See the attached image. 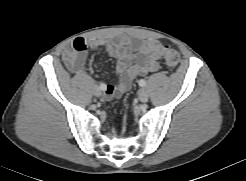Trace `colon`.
Listing matches in <instances>:
<instances>
[{
    "instance_id": "colon-1",
    "label": "colon",
    "mask_w": 246,
    "mask_h": 181,
    "mask_svg": "<svg viewBox=\"0 0 246 181\" xmlns=\"http://www.w3.org/2000/svg\"><path fill=\"white\" fill-rule=\"evenodd\" d=\"M162 53H163L165 63L169 68L175 69L179 65L180 55L175 49L169 46H165L163 48Z\"/></svg>"
}]
</instances>
